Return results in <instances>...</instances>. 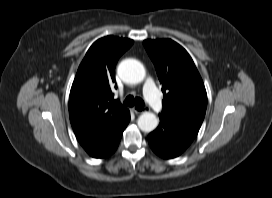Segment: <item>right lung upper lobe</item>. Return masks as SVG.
<instances>
[{
	"instance_id": "right-lung-upper-lobe-1",
	"label": "right lung upper lobe",
	"mask_w": 272,
	"mask_h": 198,
	"mask_svg": "<svg viewBox=\"0 0 272 198\" xmlns=\"http://www.w3.org/2000/svg\"><path fill=\"white\" fill-rule=\"evenodd\" d=\"M132 44L127 38L103 37L92 44L78 68L69 96V117L82 146L128 110L113 100L112 88L116 63Z\"/></svg>"
}]
</instances>
